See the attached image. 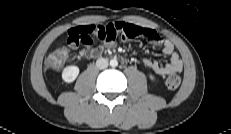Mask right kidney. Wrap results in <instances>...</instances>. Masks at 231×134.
<instances>
[{
    "instance_id": "ca27d5eb",
    "label": "right kidney",
    "mask_w": 231,
    "mask_h": 134,
    "mask_svg": "<svg viewBox=\"0 0 231 134\" xmlns=\"http://www.w3.org/2000/svg\"><path fill=\"white\" fill-rule=\"evenodd\" d=\"M79 74V68L77 66H67L62 72V79L67 82H73Z\"/></svg>"
}]
</instances>
